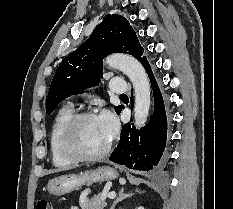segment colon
I'll return each instance as SVG.
<instances>
[{"mask_svg":"<svg viewBox=\"0 0 233 209\" xmlns=\"http://www.w3.org/2000/svg\"><path fill=\"white\" fill-rule=\"evenodd\" d=\"M36 209H53L50 200L42 198L37 202Z\"/></svg>","mask_w":233,"mask_h":209,"instance_id":"5ec220e1","label":"colon"}]
</instances>
